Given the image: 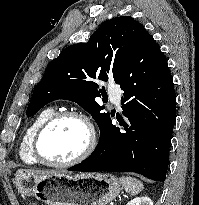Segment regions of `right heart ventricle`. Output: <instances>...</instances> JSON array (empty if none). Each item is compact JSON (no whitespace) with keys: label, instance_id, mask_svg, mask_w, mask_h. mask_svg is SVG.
I'll use <instances>...</instances> for the list:
<instances>
[{"label":"right heart ventricle","instance_id":"right-heart-ventricle-1","mask_svg":"<svg viewBox=\"0 0 199 205\" xmlns=\"http://www.w3.org/2000/svg\"><path fill=\"white\" fill-rule=\"evenodd\" d=\"M55 112L54 106L44 108L26 129L19 147L20 158L25 164L35 165L38 163L32 154V139L38 128Z\"/></svg>","mask_w":199,"mask_h":205}]
</instances>
